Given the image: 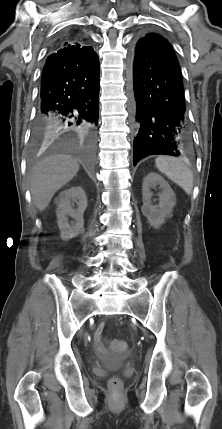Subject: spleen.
I'll return each mask as SVG.
<instances>
[{
  "label": "spleen",
  "mask_w": 222,
  "mask_h": 429,
  "mask_svg": "<svg viewBox=\"0 0 222 429\" xmlns=\"http://www.w3.org/2000/svg\"><path fill=\"white\" fill-rule=\"evenodd\" d=\"M155 164L160 172L180 186L187 194H191L193 174L181 160L169 156H159L156 158Z\"/></svg>",
  "instance_id": "1"
}]
</instances>
